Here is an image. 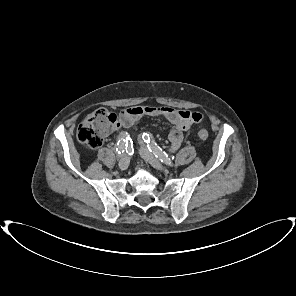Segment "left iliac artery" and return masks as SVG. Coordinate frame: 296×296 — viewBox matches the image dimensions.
<instances>
[{"label":"left iliac artery","instance_id":"44dca946","mask_svg":"<svg viewBox=\"0 0 296 296\" xmlns=\"http://www.w3.org/2000/svg\"><path fill=\"white\" fill-rule=\"evenodd\" d=\"M142 140L147 144L149 151L158 157L161 162H164L167 165L172 163L170 157L157 146V144L150 138L149 134L144 133L142 135Z\"/></svg>","mask_w":296,"mask_h":296}]
</instances>
